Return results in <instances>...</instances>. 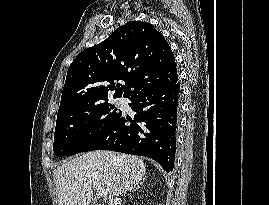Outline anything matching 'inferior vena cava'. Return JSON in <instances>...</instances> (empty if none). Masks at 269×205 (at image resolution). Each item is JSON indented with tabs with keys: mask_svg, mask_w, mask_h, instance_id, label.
Here are the masks:
<instances>
[{
	"mask_svg": "<svg viewBox=\"0 0 269 205\" xmlns=\"http://www.w3.org/2000/svg\"><path fill=\"white\" fill-rule=\"evenodd\" d=\"M121 204V199L116 197V198H112L110 199V205H120Z\"/></svg>",
	"mask_w": 269,
	"mask_h": 205,
	"instance_id": "inferior-vena-cava-1",
	"label": "inferior vena cava"
}]
</instances>
